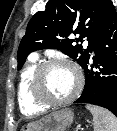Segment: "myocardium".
Instances as JSON below:
<instances>
[{
	"instance_id": "1",
	"label": "myocardium",
	"mask_w": 117,
	"mask_h": 131,
	"mask_svg": "<svg viewBox=\"0 0 117 131\" xmlns=\"http://www.w3.org/2000/svg\"><path fill=\"white\" fill-rule=\"evenodd\" d=\"M54 66H66L76 75L77 84L75 90L67 98L62 100H53L45 96L42 90V81L45 72ZM84 85V78L80 69L71 61L66 59H49L40 63L32 76L30 83V93L34 101L45 107H59L73 102L81 93Z\"/></svg>"
}]
</instances>
